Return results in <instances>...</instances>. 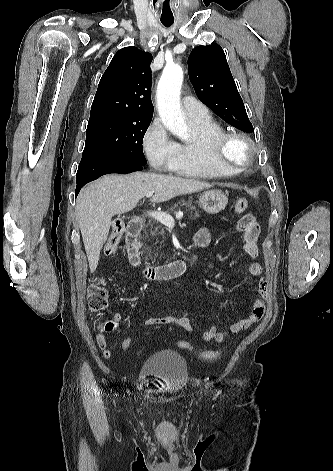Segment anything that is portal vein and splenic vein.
Listing matches in <instances>:
<instances>
[{"label":"portal vein and splenic vein","instance_id":"18ae733b","mask_svg":"<svg viewBox=\"0 0 333 471\" xmlns=\"http://www.w3.org/2000/svg\"><path fill=\"white\" fill-rule=\"evenodd\" d=\"M153 191H149L146 193V197H151L153 195ZM149 215L153 218H155L156 220H158L159 222H161L162 224L166 225V226H172L174 225V219L172 216H170L169 214L167 213H164V212H157V211H153V212H149ZM183 217V212L182 211H179L177 214H176V218L177 219H181Z\"/></svg>","mask_w":333,"mask_h":471}]
</instances>
